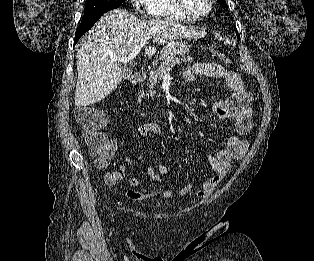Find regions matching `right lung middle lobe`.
Wrapping results in <instances>:
<instances>
[{"instance_id": "1", "label": "right lung middle lobe", "mask_w": 314, "mask_h": 261, "mask_svg": "<svg viewBox=\"0 0 314 261\" xmlns=\"http://www.w3.org/2000/svg\"><path fill=\"white\" fill-rule=\"evenodd\" d=\"M124 0H86L84 16L81 24L89 23L109 10L119 7Z\"/></svg>"}]
</instances>
